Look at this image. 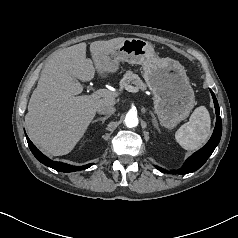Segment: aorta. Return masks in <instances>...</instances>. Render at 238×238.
<instances>
[{
    "instance_id": "762f6f07",
    "label": "aorta",
    "mask_w": 238,
    "mask_h": 238,
    "mask_svg": "<svg viewBox=\"0 0 238 238\" xmlns=\"http://www.w3.org/2000/svg\"><path fill=\"white\" fill-rule=\"evenodd\" d=\"M125 124L129 128L136 127L138 125V118L135 112H128L125 116Z\"/></svg>"
}]
</instances>
